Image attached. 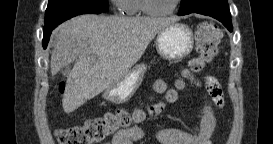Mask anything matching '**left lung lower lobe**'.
<instances>
[{
    "label": "left lung lower lobe",
    "instance_id": "0a47b994",
    "mask_svg": "<svg viewBox=\"0 0 273 144\" xmlns=\"http://www.w3.org/2000/svg\"><path fill=\"white\" fill-rule=\"evenodd\" d=\"M190 13L211 16L222 22L230 32L233 29L227 0H195L194 8L186 12H179L178 15L181 16Z\"/></svg>",
    "mask_w": 273,
    "mask_h": 144
}]
</instances>
